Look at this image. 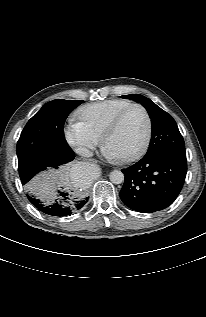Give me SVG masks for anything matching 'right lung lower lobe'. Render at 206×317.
Instances as JSON below:
<instances>
[{
	"mask_svg": "<svg viewBox=\"0 0 206 317\" xmlns=\"http://www.w3.org/2000/svg\"><path fill=\"white\" fill-rule=\"evenodd\" d=\"M58 162L60 165L72 161L75 157L74 152L69 147L58 148ZM29 201L40 211L51 216H67L81 209L88 201V198L79 192L59 191V197L52 205H47L31 193L26 194Z\"/></svg>",
	"mask_w": 206,
	"mask_h": 317,
	"instance_id": "98d812e1",
	"label": "right lung lower lobe"
}]
</instances>
